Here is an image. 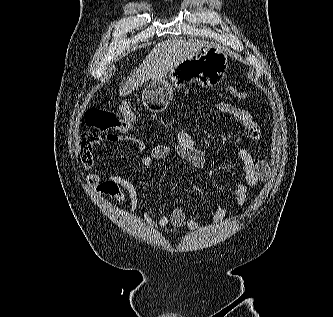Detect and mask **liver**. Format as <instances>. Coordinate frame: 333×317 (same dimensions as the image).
<instances>
[{"label":"liver","instance_id":"liver-1","mask_svg":"<svg viewBox=\"0 0 333 317\" xmlns=\"http://www.w3.org/2000/svg\"><path fill=\"white\" fill-rule=\"evenodd\" d=\"M206 42L201 40L173 39L158 43L146 56L139 68L120 88L119 95L125 96L139 89L149 79L163 78L180 62L196 56Z\"/></svg>","mask_w":333,"mask_h":317}]
</instances>
